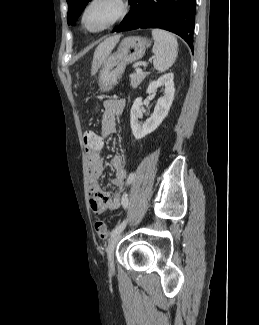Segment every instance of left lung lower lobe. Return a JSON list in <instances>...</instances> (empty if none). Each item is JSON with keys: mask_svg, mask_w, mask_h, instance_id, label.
Returning <instances> with one entry per match:
<instances>
[{"mask_svg": "<svg viewBox=\"0 0 259 325\" xmlns=\"http://www.w3.org/2000/svg\"><path fill=\"white\" fill-rule=\"evenodd\" d=\"M131 9L113 32L161 28L182 37L193 48L196 0H129Z\"/></svg>", "mask_w": 259, "mask_h": 325, "instance_id": "0a47b994", "label": "left lung lower lobe"}]
</instances>
